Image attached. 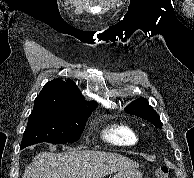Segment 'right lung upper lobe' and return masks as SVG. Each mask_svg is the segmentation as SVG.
Segmentation results:
<instances>
[{"label": "right lung upper lobe", "mask_w": 194, "mask_h": 178, "mask_svg": "<svg viewBox=\"0 0 194 178\" xmlns=\"http://www.w3.org/2000/svg\"><path fill=\"white\" fill-rule=\"evenodd\" d=\"M34 103H47L71 112H90L96 107L92 102L85 106L83 96L72 80L54 79L45 84Z\"/></svg>", "instance_id": "obj_1"}]
</instances>
